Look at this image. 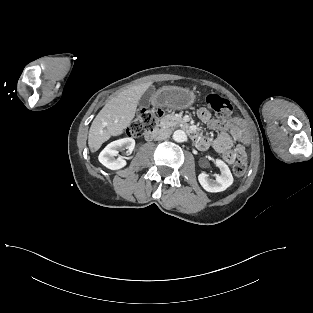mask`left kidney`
Segmentation results:
<instances>
[{
    "instance_id": "obj_1",
    "label": "left kidney",
    "mask_w": 313,
    "mask_h": 313,
    "mask_svg": "<svg viewBox=\"0 0 313 313\" xmlns=\"http://www.w3.org/2000/svg\"><path fill=\"white\" fill-rule=\"evenodd\" d=\"M216 166L220 169L221 174L216 175L215 179L209 178L206 173L198 176L199 183L208 192H221L233 184V176L229 167L219 159L216 160Z\"/></svg>"
}]
</instances>
